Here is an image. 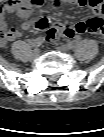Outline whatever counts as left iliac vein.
<instances>
[{
	"mask_svg": "<svg viewBox=\"0 0 104 137\" xmlns=\"http://www.w3.org/2000/svg\"><path fill=\"white\" fill-rule=\"evenodd\" d=\"M71 49L70 45H60L57 47V50L61 51V52H68Z\"/></svg>",
	"mask_w": 104,
	"mask_h": 137,
	"instance_id": "obj_1",
	"label": "left iliac vein"
}]
</instances>
